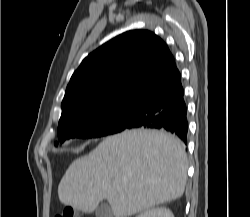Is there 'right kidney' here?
Returning <instances> with one entry per match:
<instances>
[{"label": "right kidney", "instance_id": "ca27d5eb", "mask_svg": "<svg viewBox=\"0 0 250 217\" xmlns=\"http://www.w3.org/2000/svg\"><path fill=\"white\" fill-rule=\"evenodd\" d=\"M137 217H174V215L166 207H156L142 212Z\"/></svg>", "mask_w": 250, "mask_h": 217}]
</instances>
